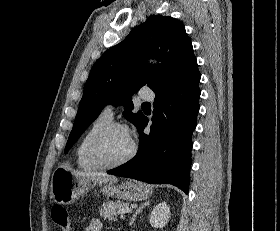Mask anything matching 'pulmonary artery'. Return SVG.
Masks as SVG:
<instances>
[{
  "label": "pulmonary artery",
  "mask_w": 280,
  "mask_h": 231,
  "mask_svg": "<svg viewBox=\"0 0 280 231\" xmlns=\"http://www.w3.org/2000/svg\"><path fill=\"white\" fill-rule=\"evenodd\" d=\"M139 96L144 100H153L155 95L153 91L149 90L148 88H144L139 91ZM102 114L109 118H113L115 114L114 107L111 104H107L103 108Z\"/></svg>",
  "instance_id": "e3ab8cb5"
}]
</instances>
